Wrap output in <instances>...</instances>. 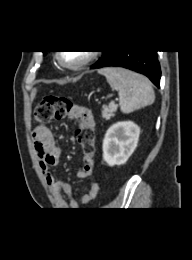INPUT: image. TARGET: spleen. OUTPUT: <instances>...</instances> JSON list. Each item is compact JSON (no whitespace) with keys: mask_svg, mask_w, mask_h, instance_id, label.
<instances>
[{"mask_svg":"<svg viewBox=\"0 0 192 260\" xmlns=\"http://www.w3.org/2000/svg\"><path fill=\"white\" fill-rule=\"evenodd\" d=\"M98 72L106 77L113 90L118 91L123 113L128 114L154 103L155 93L151 82L145 76L113 67H106Z\"/></svg>","mask_w":192,"mask_h":260,"instance_id":"obj_1","label":"spleen"}]
</instances>
